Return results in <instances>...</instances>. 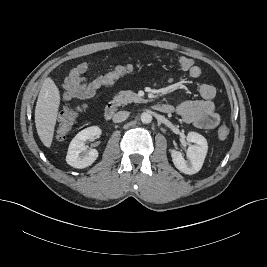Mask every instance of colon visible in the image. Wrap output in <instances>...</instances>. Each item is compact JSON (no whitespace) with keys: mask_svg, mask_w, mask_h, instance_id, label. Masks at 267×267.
<instances>
[{"mask_svg":"<svg viewBox=\"0 0 267 267\" xmlns=\"http://www.w3.org/2000/svg\"><path fill=\"white\" fill-rule=\"evenodd\" d=\"M179 66L182 70H190L195 62L191 58L182 57L179 59ZM136 68L132 64L120 65L106 74L102 75L101 83L103 86H108L115 83L118 79L134 74ZM85 104L78 103L76 105H66L59 116L55 130L57 139H64L70 133L74 126L78 115L84 110ZM229 129L225 124H221L218 128V136L220 139H225L228 136Z\"/></svg>","mask_w":267,"mask_h":267,"instance_id":"1","label":"colon"}]
</instances>
